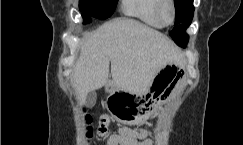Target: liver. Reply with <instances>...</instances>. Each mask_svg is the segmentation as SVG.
Here are the masks:
<instances>
[{
	"mask_svg": "<svg viewBox=\"0 0 243 145\" xmlns=\"http://www.w3.org/2000/svg\"><path fill=\"white\" fill-rule=\"evenodd\" d=\"M85 38L72 75L81 101L108 82L110 63L113 83L131 93H146L166 64L184 63L167 36L133 19H113Z\"/></svg>",
	"mask_w": 243,
	"mask_h": 145,
	"instance_id": "liver-1",
	"label": "liver"
}]
</instances>
